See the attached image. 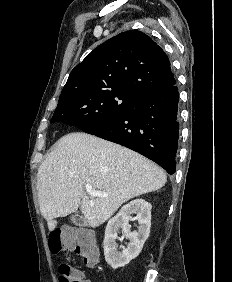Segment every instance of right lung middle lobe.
I'll return each mask as SVG.
<instances>
[{
    "mask_svg": "<svg viewBox=\"0 0 232 282\" xmlns=\"http://www.w3.org/2000/svg\"><path fill=\"white\" fill-rule=\"evenodd\" d=\"M141 96L128 90H107L59 101L51 123L63 122L85 129L110 121L138 104Z\"/></svg>",
    "mask_w": 232,
    "mask_h": 282,
    "instance_id": "obj_1",
    "label": "right lung middle lobe"
}]
</instances>
